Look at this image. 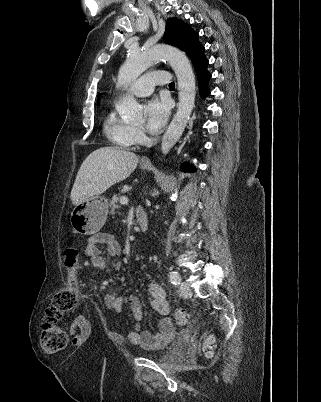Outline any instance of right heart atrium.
Returning <instances> with one entry per match:
<instances>
[{"label": "right heart atrium", "instance_id": "d8ad5b80", "mask_svg": "<svg viewBox=\"0 0 321 402\" xmlns=\"http://www.w3.org/2000/svg\"><path fill=\"white\" fill-rule=\"evenodd\" d=\"M134 136L137 144H143L146 141L144 131L141 127H134Z\"/></svg>", "mask_w": 321, "mask_h": 402}]
</instances>
